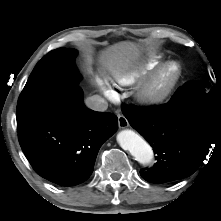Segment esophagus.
I'll list each match as a JSON object with an SVG mask.
<instances>
[{
    "instance_id": "esophagus-1",
    "label": "esophagus",
    "mask_w": 221,
    "mask_h": 221,
    "mask_svg": "<svg viewBox=\"0 0 221 221\" xmlns=\"http://www.w3.org/2000/svg\"><path fill=\"white\" fill-rule=\"evenodd\" d=\"M118 125H119V128H121V129L127 128L129 126V122L125 116L119 115L118 116Z\"/></svg>"
}]
</instances>
